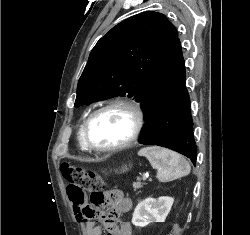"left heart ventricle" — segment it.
<instances>
[{
  "instance_id": "obj_1",
  "label": "left heart ventricle",
  "mask_w": 250,
  "mask_h": 235,
  "mask_svg": "<svg viewBox=\"0 0 250 235\" xmlns=\"http://www.w3.org/2000/svg\"><path fill=\"white\" fill-rule=\"evenodd\" d=\"M133 126L130 114L119 108L107 110L94 118L89 128L92 144L109 147L124 141Z\"/></svg>"
}]
</instances>
